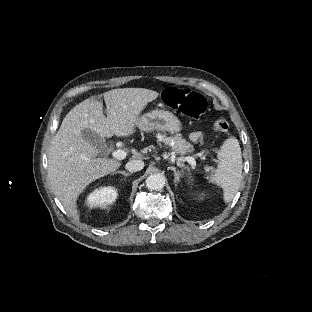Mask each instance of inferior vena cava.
I'll return each instance as SVG.
<instances>
[{
  "mask_svg": "<svg viewBox=\"0 0 312 312\" xmlns=\"http://www.w3.org/2000/svg\"><path fill=\"white\" fill-rule=\"evenodd\" d=\"M144 168V162L141 160H131L126 163V169L130 172H137Z\"/></svg>",
  "mask_w": 312,
  "mask_h": 312,
  "instance_id": "inferior-vena-cava-1",
  "label": "inferior vena cava"
}]
</instances>
